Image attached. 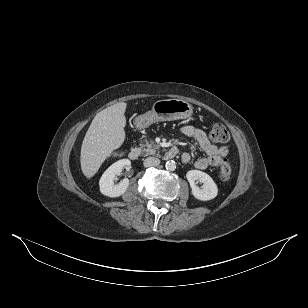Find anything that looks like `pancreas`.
Masks as SVG:
<instances>
[{
    "label": "pancreas",
    "mask_w": 308,
    "mask_h": 308,
    "mask_svg": "<svg viewBox=\"0 0 308 308\" xmlns=\"http://www.w3.org/2000/svg\"><path fill=\"white\" fill-rule=\"evenodd\" d=\"M140 148L142 150L143 156L148 155H155L157 152H159V145L155 144L153 141H145L140 143Z\"/></svg>",
    "instance_id": "1"
}]
</instances>
